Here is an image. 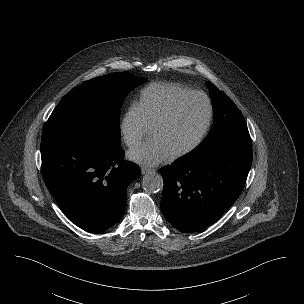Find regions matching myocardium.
I'll return each mask as SVG.
<instances>
[{
    "label": "myocardium",
    "mask_w": 304,
    "mask_h": 304,
    "mask_svg": "<svg viewBox=\"0 0 304 304\" xmlns=\"http://www.w3.org/2000/svg\"><path fill=\"white\" fill-rule=\"evenodd\" d=\"M194 97H200L205 100L207 105V117L204 123V126L197 136V138L184 149L172 154L173 159L182 158L194 152L205 140L207 137L214 117V107L211 98L202 91H190L180 97H178L168 108L167 110L156 120V122L151 127V132L153 133L157 128L167 123L175 114L180 105L186 100Z\"/></svg>",
    "instance_id": "myocardium-1"
}]
</instances>
